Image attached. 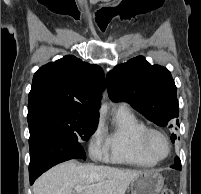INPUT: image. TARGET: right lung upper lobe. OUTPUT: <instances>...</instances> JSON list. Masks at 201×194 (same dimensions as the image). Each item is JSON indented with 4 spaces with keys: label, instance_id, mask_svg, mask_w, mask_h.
<instances>
[{
    "label": "right lung upper lobe",
    "instance_id": "right-lung-upper-lobe-1",
    "mask_svg": "<svg viewBox=\"0 0 201 194\" xmlns=\"http://www.w3.org/2000/svg\"><path fill=\"white\" fill-rule=\"evenodd\" d=\"M104 86L105 77L99 66L68 55L42 66L34 74L28 105L57 101L78 115L99 117Z\"/></svg>",
    "mask_w": 201,
    "mask_h": 194
}]
</instances>
